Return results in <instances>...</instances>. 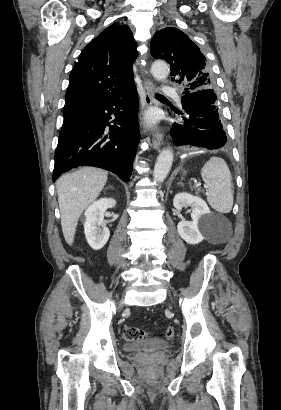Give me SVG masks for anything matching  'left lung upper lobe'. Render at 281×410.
Instances as JSON below:
<instances>
[{"label":"left lung upper lobe","instance_id":"5c2ea615","mask_svg":"<svg viewBox=\"0 0 281 410\" xmlns=\"http://www.w3.org/2000/svg\"><path fill=\"white\" fill-rule=\"evenodd\" d=\"M151 55L170 64L172 80L184 88L182 95L215 89L212 70L205 56L190 38L177 28L157 31L150 44Z\"/></svg>","mask_w":281,"mask_h":410}]
</instances>
